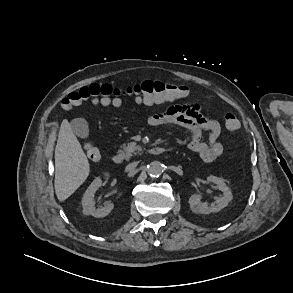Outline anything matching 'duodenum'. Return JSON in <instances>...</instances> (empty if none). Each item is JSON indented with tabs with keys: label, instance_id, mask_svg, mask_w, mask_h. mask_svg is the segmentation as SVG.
<instances>
[{
	"label": "duodenum",
	"instance_id": "duodenum-1",
	"mask_svg": "<svg viewBox=\"0 0 293 293\" xmlns=\"http://www.w3.org/2000/svg\"><path fill=\"white\" fill-rule=\"evenodd\" d=\"M166 151H167V149L165 147L154 146V147H151L148 152L151 155L158 156V155H161V154L165 153ZM124 159H125L124 155L122 153H120V152H118V153H116V154H114L112 156V161L115 164L123 163Z\"/></svg>",
	"mask_w": 293,
	"mask_h": 293
}]
</instances>
